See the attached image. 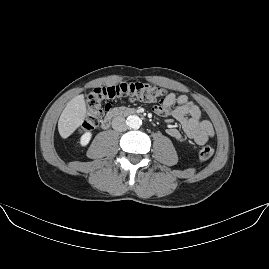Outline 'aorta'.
Masks as SVG:
<instances>
[{"label": "aorta", "instance_id": "aorta-1", "mask_svg": "<svg viewBox=\"0 0 269 269\" xmlns=\"http://www.w3.org/2000/svg\"><path fill=\"white\" fill-rule=\"evenodd\" d=\"M142 120L137 115H131L127 118V124L130 128L137 129L140 127Z\"/></svg>", "mask_w": 269, "mask_h": 269}]
</instances>
